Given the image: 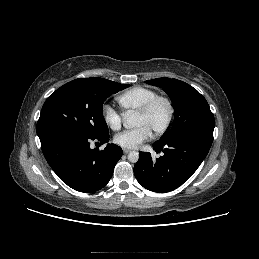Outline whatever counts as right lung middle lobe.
<instances>
[{
	"instance_id": "dd1d6c3e",
	"label": "right lung middle lobe",
	"mask_w": 259,
	"mask_h": 259,
	"mask_svg": "<svg viewBox=\"0 0 259 259\" xmlns=\"http://www.w3.org/2000/svg\"><path fill=\"white\" fill-rule=\"evenodd\" d=\"M129 84H119L103 78H79L58 88L45 101L37 122L40 137L61 130L88 136L109 133L103 117V102Z\"/></svg>"
}]
</instances>
